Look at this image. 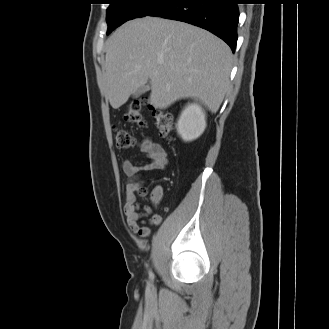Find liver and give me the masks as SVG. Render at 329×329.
I'll list each match as a JSON object with an SVG mask.
<instances>
[{"label": "liver", "instance_id": "1", "mask_svg": "<svg viewBox=\"0 0 329 329\" xmlns=\"http://www.w3.org/2000/svg\"><path fill=\"white\" fill-rule=\"evenodd\" d=\"M106 45L104 87L112 108L150 80L149 101L156 108L190 97L218 111L229 86L232 52L212 33L147 16L119 27Z\"/></svg>", "mask_w": 329, "mask_h": 329}]
</instances>
